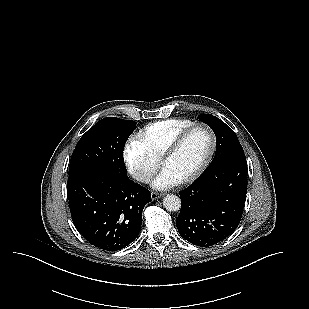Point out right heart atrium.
I'll use <instances>...</instances> for the list:
<instances>
[{"instance_id": "obj_1", "label": "right heart atrium", "mask_w": 309, "mask_h": 309, "mask_svg": "<svg viewBox=\"0 0 309 309\" xmlns=\"http://www.w3.org/2000/svg\"><path fill=\"white\" fill-rule=\"evenodd\" d=\"M123 154L130 174L141 183L148 182L159 167V159L151 155L136 140L126 143Z\"/></svg>"}]
</instances>
